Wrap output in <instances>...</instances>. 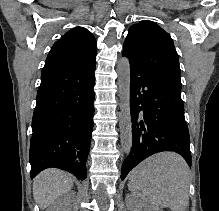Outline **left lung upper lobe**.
Returning <instances> with one entry per match:
<instances>
[{
	"label": "left lung upper lobe",
	"instance_id": "1",
	"mask_svg": "<svg viewBox=\"0 0 219 211\" xmlns=\"http://www.w3.org/2000/svg\"><path fill=\"white\" fill-rule=\"evenodd\" d=\"M123 55L181 89L178 54L170 35L152 21L129 28Z\"/></svg>",
	"mask_w": 219,
	"mask_h": 211
}]
</instances>
